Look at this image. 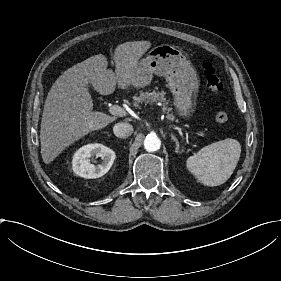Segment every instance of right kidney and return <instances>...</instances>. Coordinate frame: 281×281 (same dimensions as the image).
I'll list each match as a JSON object with an SVG mask.
<instances>
[{
  "mask_svg": "<svg viewBox=\"0 0 281 281\" xmlns=\"http://www.w3.org/2000/svg\"><path fill=\"white\" fill-rule=\"evenodd\" d=\"M100 157L102 162L91 163V156ZM115 160V152L101 143H88L78 148L72 155V170L83 178H99L109 171Z\"/></svg>",
  "mask_w": 281,
  "mask_h": 281,
  "instance_id": "ca27d5eb",
  "label": "right kidney"
}]
</instances>
